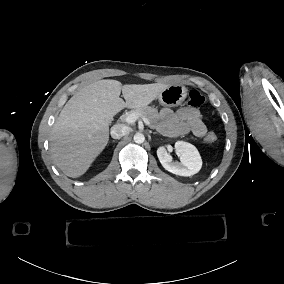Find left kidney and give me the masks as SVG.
<instances>
[{"label":"left kidney","instance_id":"1","mask_svg":"<svg viewBox=\"0 0 284 284\" xmlns=\"http://www.w3.org/2000/svg\"><path fill=\"white\" fill-rule=\"evenodd\" d=\"M174 148L182 155L181 162L172 161L173 158L165 145L157 148L159 161L167 171L179 176H191L201 169V158L193 145L178 141L175 143Z\"/></svg>","mask_w":284,"mask_h":284}]
</instances>
